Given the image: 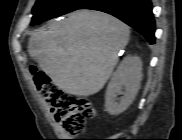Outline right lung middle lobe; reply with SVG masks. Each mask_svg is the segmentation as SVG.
<instances>
[{
    "label": "right lung middle lobe",
    "mask_w": 182,
    "mask_h": 140,
    "mask_svg": "<svg viewBox=\"0 0 182 140\" xmlns=\"http://www.w3.org/2000/svg\"><path fill=\"white\" fill-rule=\"evenodd\" d=\"M89 0H37L33 7L31 25L61 16L79 9Z\"/></svg>",
    "instance_id": "obj_1"
}]
</instances>
